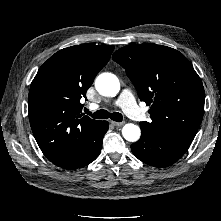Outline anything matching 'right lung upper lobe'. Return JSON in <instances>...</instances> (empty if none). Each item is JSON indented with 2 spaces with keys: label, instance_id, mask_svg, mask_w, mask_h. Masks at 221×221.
Returning a JSON list of instances; mask_svg holds the SVG:
<instances>
[{
  "label": "right lung upper lobe",
  "instance_id": "cb5924a9",
  "mask_svg": "<svg viewBox=\"0 0 221 221\" xmlns=\"http://www.w3.org/2000/svg\"><path fill=\"white\" fill-rule=\"evenodd\" d=\"M113 45L81 44L50 57L33 79L28 99L33 135L46 158L64 166L83 159L88 140L100 121L82 113L97 73L106 65Z\"/></svg>",
  "mask_w": 221,
  "mask_h": 221
}]
</instances>
